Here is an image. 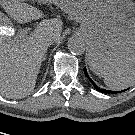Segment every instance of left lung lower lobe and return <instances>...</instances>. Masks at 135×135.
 <instances>
[{
	"instance_id": "0a47b994",
	"label": "left lung lower lobe",
	"mask_w": 135,
	"mask_h": 135,
	"mask_svg": "<svg viewBox=\"0 0 135 135\" xmlns=\"http://www.w3.org/2000/svg\"><path fill=\"white\" fill-rule=\"evenodd\" d=\"M84 73L86 75L87 78H89L88 74H87V70L86 68H84ZM91 83L93 84L94 88L101 92V93H105V94H116V93H119L120 91H111V90H105V89H102V88H99L91 79H90ZM125 91V90H124Z\"/></svg>"
}]
</instances>
